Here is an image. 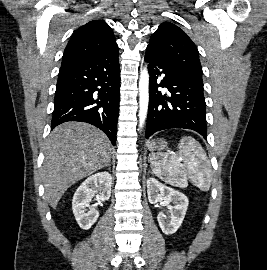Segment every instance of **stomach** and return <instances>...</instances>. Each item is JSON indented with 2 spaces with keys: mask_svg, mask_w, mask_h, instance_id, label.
I'll return each instance as SVG.
<instances>
[{
  "mask_svg": "<svg viewBox=\"0 0 267 270\" xmlns=\"http://www.w3.org/2000/svg\"><path fill=\"white\" fill-rule=\"evenodd\" d=\"M167 142L163 139L160 140H153L148 143V148L150 151H155V150H164L166 148Z\"/></svg>",
  "mask_w": 267,
  "mask_h": 270,
  "instance_id": "1",
  "label": "stomach"
}]
</instances>
